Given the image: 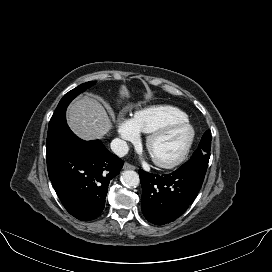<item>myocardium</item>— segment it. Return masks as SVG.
I'll list each match as a JSON object with an SVG mask.
<instances>
[{"label":"myocardium","mask_w":272,"mask_h":272,"mask_svg":"<svg viewBox=\"0 0 272 272\" xmlns=\"http://www.w3.org/2000/svg\"><path fill=\"white\" fill-rule=\"evenodd\" d=\"M178 127H183L188 131V137L182 151L176 157L170 160H158L151 156L153 162L161 168H165V169L174 168L180 165L187 158L195 139V130L192 124L188 120L173 121L152 131L151 133H149L146 139V143H145L146 149L151 155V147L153 143L160 137L164 136L165 134L169 133L171 130Z\"/></svg>","instance_id":"myocardium-1"}]
</instances>
